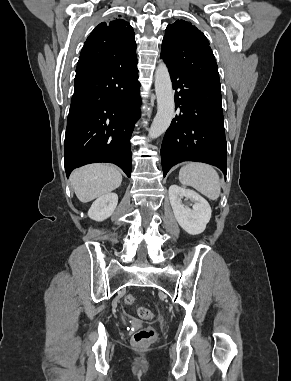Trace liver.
Instances as JSON below:
<instances>
[{"label": "liver", "instance_id": "6515ba94", "mask_svg": "<svg viewBox=\"0 0 291 381\" xmlns=\"http://www.w3.org/2000/svg\"><path fill=\"white\" fill-rule=\"evenodd\" d=\"M120 171L106 164H91L76 169L70 176V183L77 198L87 203L110 193L121 185Z\"/></svg>", "mask_w": 291, "mask_h": 381}]
</instances>
